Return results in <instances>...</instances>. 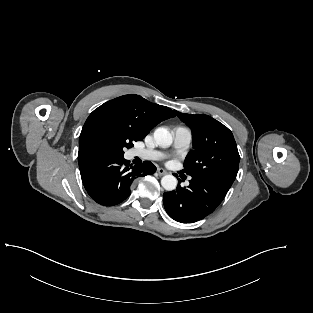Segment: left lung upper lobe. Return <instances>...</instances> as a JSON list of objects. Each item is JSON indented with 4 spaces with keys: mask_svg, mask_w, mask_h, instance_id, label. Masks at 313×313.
I'll return each instance as SVG.
<instances>
[{
    "mask_svg": "<svg viewBox=\"0 0 313 313\" xmlns=\"http://www.w3.org/2000/svg\"><path fill=\"white\" fill-rule=\"evenodd\" d=\"M192 130L193 148L181 172L195 178L221 181L231 186L236 178L240 156L232 132L208 115L176 111Z\"/></svg>",
    "mask_w": 313,
    "mask_h": 313,
    "instance_id": "obj_1",
    "label": "left lung upper lobe"
}]
</instances>
